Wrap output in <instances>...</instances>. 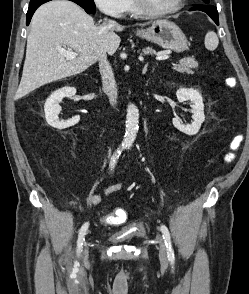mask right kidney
Returning a JSON list of instances; mask_svg holds the SVG:
<instances>
[{
	"mask_svg": "<svg viewBox=\"0 0 249 294\" xmlns=\"http://www.w3.org/2000/svg\"><path fill=\"white\" fill-rule=\"evenodd\" d=\"M76 94L74 87H64L53 92L50 97L46 100L44 105L45 118L47 123L56 129L62 130L77 124L80 120V116L72 117L69 120H60L58 115L61 111L59 102L64 97H72Z\"/></svg>",
	"mask_w": 249,
	"mask_h": 294,
	"instance_id": "obj_1",
	"label": "right kidney"
}]
</instances>
